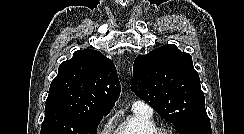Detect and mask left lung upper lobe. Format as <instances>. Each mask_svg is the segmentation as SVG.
I'll list each match as a JSON object with an SVG mask.
<instances>
[{
    "instance_id": "5c2ea615",
    "label": "left lung upper lobe",
    "mask_w": 244,
    "mask_h": 134,
    "mask_svg": "<svg viewBox=\"0 0 244 134\" xmlns=\"http://www.w3.org/2000/svg\"><path fill=\"white\" fill-rule=\"evenodd\" d=\"M133 74L131 90L173 123L179 134H212L190 54L173 44L159 47L136 57Z\"/></svg>"
}]
</instances>
